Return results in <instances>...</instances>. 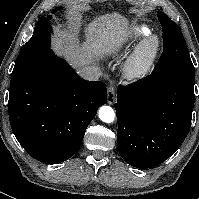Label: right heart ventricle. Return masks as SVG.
Wrapping results in <instances>:
<instances>
[{
  "mask_svg": "<svg viewBox=\"0 0 199 199\" xmlns=\"http://www.w3.org/2000/svg\"><path fill=\"white\" fill-rule=\"evenodd\" d=\"M150 29L145 25H138L132 28L131 31L121 36L110 48L112 51L117 52L124 49L128 44L146 36Z\"/></svg>",
  "mask_w": 199,
  "mask_h": 199,
  "instance_id": "e07e8e85",
  "label": "right heart ventricle"
}]
</instances>
